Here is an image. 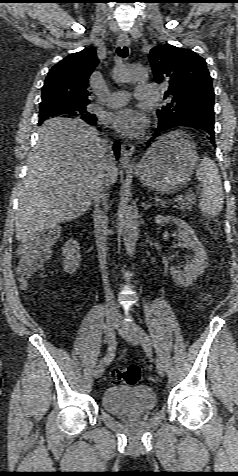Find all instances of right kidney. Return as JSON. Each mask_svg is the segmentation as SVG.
Masks as SVG:
<instances>
[{
    "label": "right kidney",
    "mask_w": 238,
    "mask_h": 476,
    "mask_svg": "<svg viewBox=\"0 0 238 476\" xmlns=\"http://www.w3.org/2000/svg\"><path fill=\"white\" fill-rule=\"evenodd\" d=\"M80 246L79 243L74 239H69L64 246L62 247V255L64 271L73 274L77 272L80 267Z\"/></svg>",
    "instance_id": "ca27d5eb"
}]
</instances>
